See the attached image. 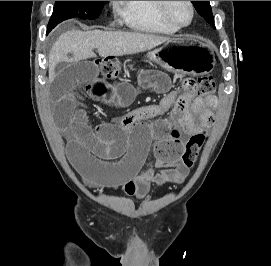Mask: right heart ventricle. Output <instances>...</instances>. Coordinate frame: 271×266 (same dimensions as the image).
<instances>
[{
	"mask_svg": "<svg viewBox=\"0 0 271 266\" xmlns=\"http://www.w3.org/2000/svg\"><path fill=\"white\" fill-rule=\"evenodd\" d=\"M160 4V1H117V12L131 29L162 34L177 32L163 17Z\"/></svg>",
	"mask_w": 271,
	"mask_h": 266,
	"instance_id": "e07e8e85",
	"label": "right heart ventricle"
}]
</instances>
